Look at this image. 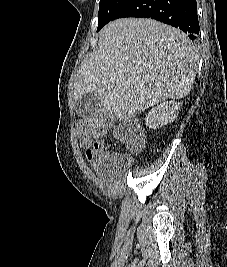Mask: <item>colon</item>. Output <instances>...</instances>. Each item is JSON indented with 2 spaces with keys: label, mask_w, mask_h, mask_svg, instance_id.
Instances as JSON below:
<instances>
[{
  "label": "colon",
  "mask_w": 227,
  "mask_h": 267,
  "mask_svg": "<svg viewBox=\"0 0 227 267\" xmlns=\"http://www.w3.org/2000/svg\"><path fill=\"white\" fill-rule=\"evenodd\" d=\"M113 125V117L108 112H97L90 117H80L77 123L79 134L83 138L94 140L95 144H101L100 139ZM119 138L132 151L143 148L145 137L142 130L135 123L126 121L117 130Z\"/></svg>",
  "instance_id": "1"
}]
</instances>
